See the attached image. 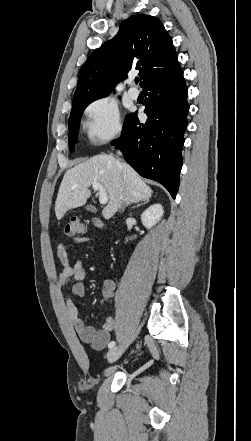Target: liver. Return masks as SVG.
<instances>
[{"label":"liver","mask_w":251,"mask_h":441,"mask_svg":"<svg viewBox=\"0 0 251 441\" xmlns=\"http://www.w3.org/2000/svg\"><path fill=\"white\" fill-rule=\"evenodd\" d=\"M94 182L108 193L109 202L102 211L105 219H110L124 203L149 200L153 193L131 166L112 155L99 154L66 171L55 202L56 218L60 220L67 210L83 206Z\"/></svg>","instance_id":"6515ba94"}]
</instances>
